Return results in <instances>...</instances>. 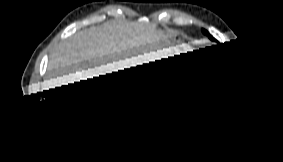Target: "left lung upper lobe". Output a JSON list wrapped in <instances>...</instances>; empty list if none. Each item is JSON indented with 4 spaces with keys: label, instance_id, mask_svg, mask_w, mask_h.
Listing matches in <instances>:
<instances>
[{
    "label": "left lung upper lobe",
    "instance_id": "5c2ea615",
    "mask_svg": "<svg viewBox=\"0 0 283 162\" xmlns=\"http://www.w3.org/2000/svg\"><path fill=\"white\" fill-rule=\"evenodd\" d=\"M203 34L207 36H211L205 29H202ZM237 64H239V61H237Z\"/></svg>",
    "mask_w": 283,
    "mask_h": 162
}]
</instances>
